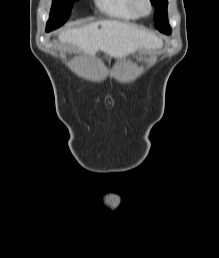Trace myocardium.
Segmentation results:
<instances>
[{
	"mask_svg": "<svg viewBox=\"0 0 219 258\" xmlns=\"http://www.w3.org/2000/svg\"><path fill=\"white\" fill-rule=\"evenodd\" d=\"M133 7L139 16H149L153 12L151 0H132Z\"/></svg>",
	"mask_w": 219,
	"mask_h": 258,
	"instance_id": "f54148a6",
	"label": "myocardium"
}]
</instances>
